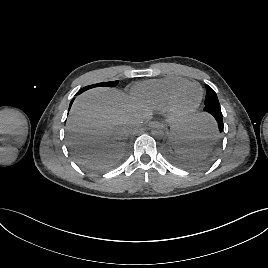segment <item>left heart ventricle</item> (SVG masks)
<instances>
[{
  "label": "left heart ventricle",
  "mask_w": 268,
  "mask_h": 268,
  "mask_svg": "<svg viewBox=\"0 0 268 268\" xmlns=\"http://www.w3.org/2000/svg\"><path fill=\"white\" fill-rule=\"evenodd\" d=\"M200 91L197 87L187 88L178 98V106L181 109L191 108L199 99Z\"/></svg>",
  "instance_id": "1"
}]
</instances>
